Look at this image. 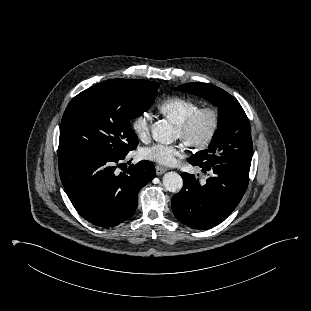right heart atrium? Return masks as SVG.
<instances>
[{
  "instance_id": "1",
  "label": "right heart atrium",
  "mask_w": 311,
  "mask_h": 311,
  "mask_svg": "<svg viewBox=\"0 0 311 311\" xmlns=\"http://www.w3.org/2000/svg\"><path fill=\"white\" fill-rule=\"evenodd\" d=\"M134 134L140 140H146L150 135V114L142 112L138 114L131 123Z\"/></svg>"
}]
</instances>
